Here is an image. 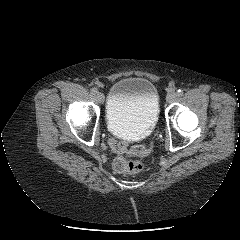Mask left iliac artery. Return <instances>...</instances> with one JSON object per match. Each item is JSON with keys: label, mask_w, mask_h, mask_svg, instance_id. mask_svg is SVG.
Wrapping results in <instances>:
<instances>
[{"label": "left iliac artery", "mask_w": 240, "mask_h": 240, "mask_svg": "<svg viewBox=\"0 0 240 240\" xmlns=\"http://www.w3.org/2000/svg\"><path fill=\"white\" fill-rule=\"evenodd\" d=\"M177 95L182 96L183 95V90L182 89L177 90Z\"/></svg>", "instance_id": "44dca946"}]
</instances>
